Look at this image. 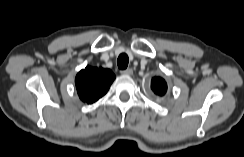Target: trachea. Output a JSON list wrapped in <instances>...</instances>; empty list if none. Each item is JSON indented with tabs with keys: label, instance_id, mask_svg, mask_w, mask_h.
Returning a JSON list of instances; mask_svg holds the SVG:
<instances>
[{
	"label": "trachea",
	"instance_id": "trachea-1",
	"mask_svg": "<svg viewBox=\"0 0 244 157\" xmlns=\"http://www.w3.org/2000/svg\"><path fill=\"white\" fill-rule=\"evenodd\" d=\"M128 62H129V59H128V56L127 54L123 53L121 54L118 59H117V64H118V67L119 69L121 70H124L127 68L128 66Z\"/></svg>",
	"mask_w": 244,
	"mask_h": 157
}]
</instances>
